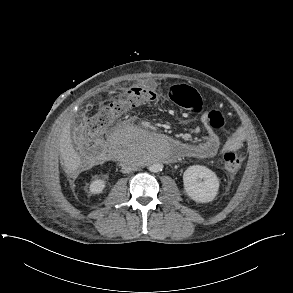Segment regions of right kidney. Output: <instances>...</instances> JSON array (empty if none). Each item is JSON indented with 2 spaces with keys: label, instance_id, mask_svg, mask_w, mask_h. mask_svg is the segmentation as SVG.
<instances>
[{
  "label": "right kidney",
  "instance_id": "1",
  "mask_svg": "<svg viewBox=\"0 0 293 293\" xmlns=\"http://www.w3.org/2000/svg\"><path fill=\"white\" fill-rule=\"evenodd\" d=\"M105 181L102 179H95L89 185V192L91 194H100L105 188Z\"/></svg>",
  "mask_w": 293,
  "mask_h": 293
}]
</instances>
